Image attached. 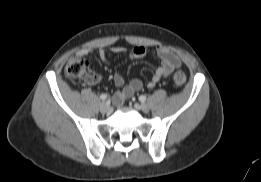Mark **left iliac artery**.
Returning a JSON list of instances; mask_svg holds the SVG:
<instances>
[{
    "label": "left iliac artery",
    "instance_id": "44dca946",
    "mask_svg": "<svg viewBox=\"0 0 261 182\" xmlns=\"http://www.w3.org/2000/svg\"><path fill=\"white\" fill-rule=\"evenodd\" d=\"M139 101L140 102H145L146 101V96L145 95H141V96H139Z\"/></svg>",
    "mask_w": 261,
    "mask_h": 182
}]
</instances>
